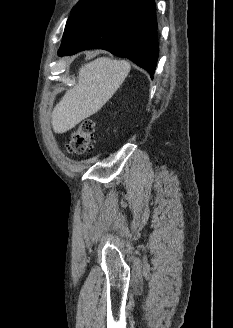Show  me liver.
<instances>
[{
	"mask_svg": "<svg viewBox=\"0 0 233 328\" xmlns=\"http://www.w3.org/2000/svg\"><path fill=\"white\" fill-rule=\"evenodd\" d=\"M131 69L125 60L97 58L79 69L77 84L67 90L51 114L55 133H65L97 113L114 95Z\"/></svg>",
	"mask_w": 233,
	"mask_h": 328,
	"instance_id": "1",
	"label": "liver"
}]
</instances>
